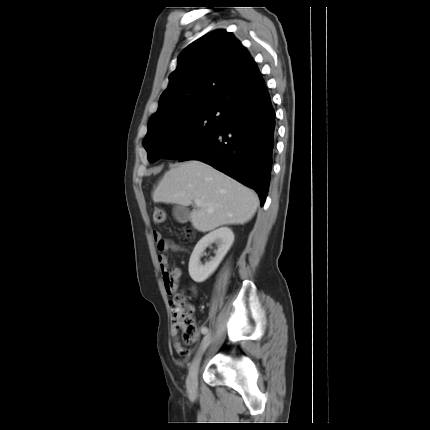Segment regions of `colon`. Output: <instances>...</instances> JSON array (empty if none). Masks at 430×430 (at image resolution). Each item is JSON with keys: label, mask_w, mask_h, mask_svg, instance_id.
Here are the masks:
<instances>
[{"label": "colon", "mask_w": 430, "mask_h": 430, "mask_svg": "<svg viewBox=\"0 0 430 430\" xmlns=\"http://www.w3.org/2000/svg\"><path fill=\"white\" fill-rule=\"evenodd\" d=\"M153 219L158 224L163 223L166 220V212L160 208L155 209ZM170 306L173 323L176 328L181 331L183 341L185 343H191L194 341L197 333L192 307L187 304L182 294H176Z\"/></svg>", "instance_id": "5ec220e1"}]
</instances>
